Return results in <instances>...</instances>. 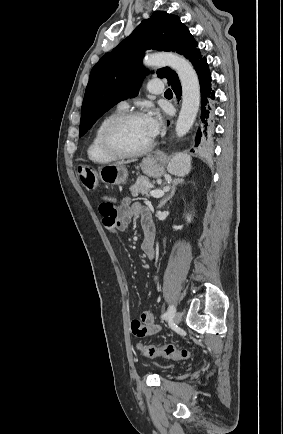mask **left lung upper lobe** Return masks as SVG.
<instances>
[{"instance_id": "obj_1", "label": "left lung upper lobe", "mask_w": 283, "mask_h": 434, "mask_svg": "<svg viewBox=\"0 0 283 434\" xmlns=\"http://www.w3.org/2000/svg\"><path fill=\"white\" fill-rule=\"evenodd\" d=\"M173 51L183 55L195 67L203 58L198 43L180 18L165 11H156L110 53L93 67L81 108L79 137L110 108L127 98L135 97L148 73L142 66L146 50ZM168 85L178 81L169 67L157 70Z\"/></svg>"}]
</instances>
